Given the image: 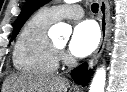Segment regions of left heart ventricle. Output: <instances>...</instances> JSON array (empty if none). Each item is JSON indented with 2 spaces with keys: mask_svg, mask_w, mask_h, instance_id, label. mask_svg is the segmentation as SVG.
<instances>
[{
  "mask_svg": "<svg viewBox=\"0 0 127 92\" xmlns=\"http://www.w3.org/2000/svg\"><path fill=\"white\" fill-rule=\"evenodd\" d=\"M59 46H63V43L58 44Z\"/></svg>",
  "mask_w": 127,
  "mask_h": 92,
  "instance_id": "b2bd125f",
  "label": "left heart ventricle"
}]
</instances>
